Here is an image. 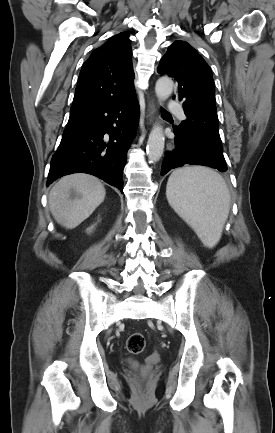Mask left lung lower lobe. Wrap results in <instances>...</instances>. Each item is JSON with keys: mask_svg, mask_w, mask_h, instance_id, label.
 Returning <instances> with one entry per match:
<instances>
[{"mask_svg": "<svg viewBox=\"0 0 275 433\" xmlns=\"http://www.w3.org/2000/svg\"><path fill=\"white\" fill-rule=\"evenodd\" d=\"M174 133V149L165 154L161 170L162 176L171 169L185 164L209 166L221 172L227 170L214 164L211 158L196 146V142L193 139L182 136L175 130Z\"/></svg>", "mask_w": 275, "mask_h": 433, "instance_id": "0a47b994", "label": "left lung lower lobe"}]
</instances>
